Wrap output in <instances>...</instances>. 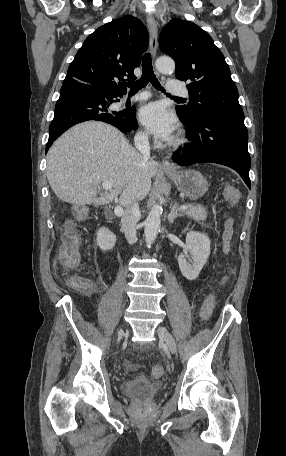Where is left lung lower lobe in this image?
<instances>
[{
  "label": "left lung lower lobe",
  "instance_id": "left-lung-lower-lobe-1",
  "mask_svg": "<svg viewBox=\"0 0 286 456\" xmlns=\"http://www.w3.org/2000/svg\"><path fill=\"white\" fill-rule=\"evenodd\" d=\"M180 119L187 127L186 135L191 143L182 149V154L173 156L175 162L180 165L211 162L228 166L251 188V159L244 120L216 113L201 114L191 122L181 116Z\"/></svg>",
  "mask_w": 286,
  "mask_h": 456
}]
</instances>
